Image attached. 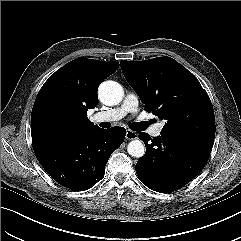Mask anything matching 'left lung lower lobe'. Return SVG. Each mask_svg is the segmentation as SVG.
<instances>
[{
	"label": "left lung lower lobe",
	"mask_w": 241,
	"mask_h": 241,
	"mask_svg": "<svg viewBox=\"0 0 241 241\" xmlns=\"http://www.w3.org/2000/svg\"><path fill=\"white\" fill-rule=\"evenodd\" d=\"M139 138L146 153L138 159L136 173L141 182L157 192H171L191 181L205 166L211 143L161 132L150 141L147 133Z\"/></svg>",
	"instance_id": "left-lung-lower-lobe-1"
}]
</instances>
